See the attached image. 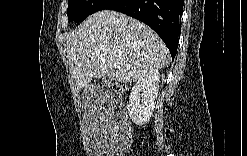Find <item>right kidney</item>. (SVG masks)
<instances>
[{"label": "right kidney", "instance_id": "1", "mask_svg": "<svg viewBox=\"0 0 247 156\" xmlns=\"http://www.w3.org/2000/svg\"><path fill=\"white\" fill-rule=\"evenodd\" d=\"M159 80L158 70H150L133 86L129 96L128 112L136 125L141 126L149 122L158 96Z\"/></svg>", "mask_w": 247, "mask_h": 156}]
</instances>
